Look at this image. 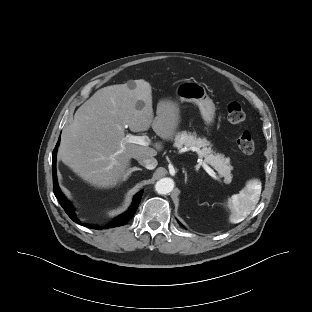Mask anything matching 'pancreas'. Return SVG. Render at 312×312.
<instances>
[{
  "label": "pancreas",
  "mask_w": 312,
  "mask_h": 312,
  "mask_svg": "<svg viewBox=\"0 0 312 312\" xmlns=\"http://www.w3.org/2000/svg\"><path fill=\"white\" fill-rule=\"evenodd\" d=\"M210 145L205 138H197L196 135L187 132L178 133L175 136L174 146L178 149L182 147L195 148L199 154L205 158V162L210 164L221 177H224L226 184L231 183L233 167L230 165L229 158L224 157L223 154H213Z\"/></svg>",
  "instance_id": "1"
}]
</instances>
